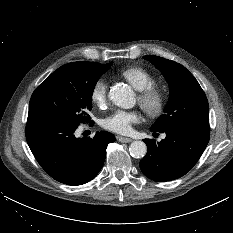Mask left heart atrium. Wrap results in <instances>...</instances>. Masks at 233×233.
<instances>
[{
  "label": "left heart atrium",
  "mask_w": 233,
  "mask_h": 233,
  "mask_svg": "<svg viewBox=\"0 0 233 233\" xmlns=\"http://www.w3.org/2000/svg\"><path fill=\"white\" fill-rule=\"evenodd\" d=\"M141 113L139 111L115 110L103 120V126L109 131L128 134L132 130V126L141 121Z\"/></svg>",
  "instance_id": "1"
}]
</instances>
